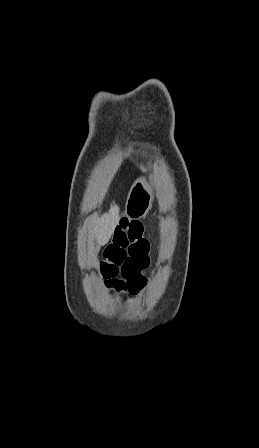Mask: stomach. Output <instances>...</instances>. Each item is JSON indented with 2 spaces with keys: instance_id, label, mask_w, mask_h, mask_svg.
<instances>
[{
  "instance_id": "1",
  "label": "stomach",
  "mask_w": 259,
  "mask_h": 448,
  "mask_svg": "<svg viewBox=\"0 0 259 448\" xmlns=\"http://www.w3.org/2000/svg\"><path fill=\"white\" fill-rule=\"evenodd\" d=\"M153 200V188L145 178L135 180L128 194L125 214L129 220H140L148 214Z\"/></svg>"
}]
</instances>
